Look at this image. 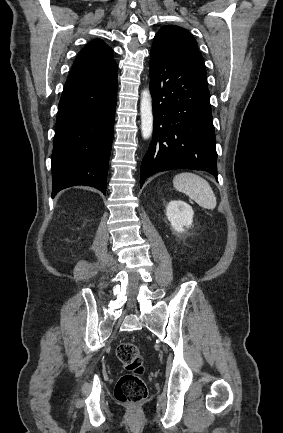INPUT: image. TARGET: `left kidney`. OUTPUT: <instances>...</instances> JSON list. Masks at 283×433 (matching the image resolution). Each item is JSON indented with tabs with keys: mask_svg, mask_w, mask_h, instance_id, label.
<instances>
[{
	"mask_svg": "<svg viewBox=\"0 0 283 433\" xmlns=\"http://www.w3.org/2000/svg\"><path fill=\"white\" fill-rule=\"evenodd\" d=\"M193 215L192 207L184 201H170L166 207V216L177 232H184V227L192 225Z\"/></svg>",
	"mask_w": 283,
	"mask_h": 433,
	"instance_id": "1",
	"label": "left kidney"
}]
</instances>
